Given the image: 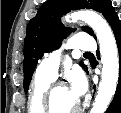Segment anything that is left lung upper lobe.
<instances>
[{"label":"left lung upper lobe","mask_w":121,"mask_h":113,"mask_svg":"<svg viewBox=\"0 0 121 113\" xmlns=\"http://www.w3.org/2000/svg\"><path fill=\"white\" fill-rule=\"evenodd\" d=\"M84 8L99 11L110 25L117 17L110 0H48L30 20L24 41L25 92L28 91L37 61L44 53L58 48L63 38L67 36L68 29L62 25L60 17L71 10ZM82 30L93 35V30L88 26L82 27ZM81 66L87 70L83 63Z\"/></svg>","instance_id":"obj_1"}]
</instances>
